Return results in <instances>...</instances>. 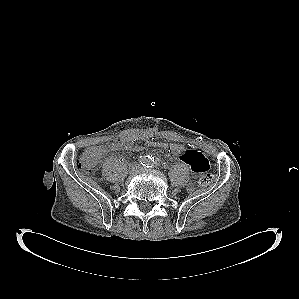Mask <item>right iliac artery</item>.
I'll return each mask as SVG.
<instances>
[{"mask_svg": "<svg viewBox=\"0 0 299 299\" xmlns=\"http://www.w3.org/2000/svg\"><path fill=\"white\" fill-rule=\"evenodd\" d=\"M140 163L142 165H146V163H147L146 158H141Z\"/></svg>", "mask_w": 299, "mask_h": 299, "instance_id": "obj_1", "label": "right iliac artery"}]
</instances>
